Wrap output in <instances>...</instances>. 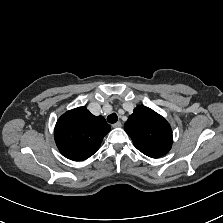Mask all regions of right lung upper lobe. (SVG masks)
I'll return each instance as SVG.
<instances>
[{"label": "right lung upper lobe", "mask_w": 223, "mask_h": 223, "mask_svg": "<svg viewBox=\"0 0 223 223\" xmlns=\"http://www.w3.org/2000/svg\"><path fill=\"white\" fill-rule=\"evenodd\" d=\"M110 129L104 117L94 116L85 107H78L59 118L54 138L63 156L82 161L99 149Z\"/></svg>", "instance_id": "right-lung-upper-lobe-1"}]
</instances>
